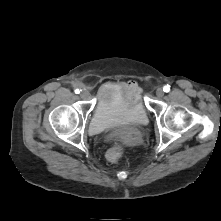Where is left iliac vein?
Listing matches in <instances>:
<instances>
[{
    "label": "left iliac vein",
    "mask_w": 221,
    "mask_h": 221,
    "mask_svg": "<svg viewBox=\"0 0 221 221\" xmlns=\"http://www.w3.org/2000/svg\"><path fill=\"white\" fill-rule=\"evenodd\" d=\"M157 97H162L164 95V90L162 88H158L156 90Z\"/></svg>",
    "instance_id": "4c4485c4"
}]
</instances>
